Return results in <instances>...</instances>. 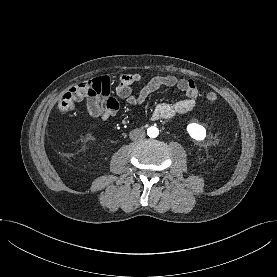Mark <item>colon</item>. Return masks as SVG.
Segmentation results:
<instances>
[{
  "mask_svg": "<svg viewBox=\"0 0 277 277\" xmlns=\"http://www.w3.org/2000/svg\"><path fill=\"white\" fill-rule=\"evenodd\" d=\"M87 91L85 83L78 84L67 91L57 104L58 112L68 114L75 108V102L80 100ZM209 104H215L218 101V95L214 91H208L205 95Z\"/></svg>",
  "mask_w": 277,
  "mask_h": 277,
  "instance_id": "colon-1",
  "label": "colon"
}]
</instances>
